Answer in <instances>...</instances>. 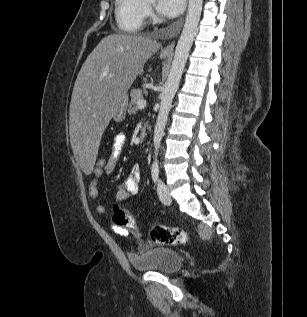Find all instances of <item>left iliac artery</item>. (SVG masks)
Segmentation results:
<instances>
[{
	"instance_id": "obj_1",
	"label": "left iliac artery",
	"mask_w": 307,
	"mask_h": 317,
	"mask_svg": "<svg viewBox=\"0 0 307 317\" xmlns=\"http://www.w3.org/2000/svg\"><path fill=\"white\" fill-rule=\"evenodd\" d=\"M152 179L155 183L159 180V167L157 165L153 166L151 169Z\"/></svg>"
}]
</instances>
